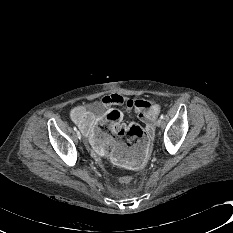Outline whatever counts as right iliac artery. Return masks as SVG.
Listing matches in <instances>:
<instances>
[{
    "label": "right iliac artery",
    "instance_id": "right-iliac-artery-1",
    "mask_svg": "<svg viewBox=\"0 0 233 233\" xmlns=\"http://www.w3.org/2000/svg\"><path fill=\"white\" fill-rule=\"evenodd\" d=\"M74 130H75V131H77V128H76V127H74Z\"/></svg>",
    "mask_w": 233,
    "mask_h": 233
}]
</instances>
